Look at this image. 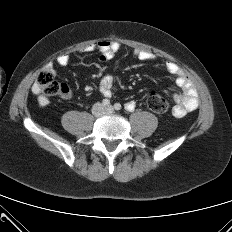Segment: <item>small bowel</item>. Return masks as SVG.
Here are the masks:
<instances>
[{
	"label": "small bowel",
	"instance_id": "c3829d8e",
	"mask_svg": "<svg viewBox=\"0 0 232 232\" xmlns=\"http://www.w3.org/2000/svg\"><path fill=\"white\" fill-rule=\"evenodd\" d=\"M121 49V44L117 41L111 40H101L96 43L88 44L84 46L80 52L90 53L93 51H98L101 54L102 60L111 59L119 50ZM134 56L143 62H153L156 60V56L144 49L134 50ZM70 63V56L68 54H61L57 58V64L61 67H65ZM166 70L172 74L175 78L176 85L181 89L180 93H176L173 96L175 101V107L173 113L177 117H182L188 112L195 110L199 105V98L197 89L193 81L188 77L185 71L172 61H167L165 63ZM64 88V93L62 94L63 99H70L72 92L66 84H62ZM99 90L105 97H110L115 91L114 77L110 72L104 73L99 80ZM33 93L37 97L38 104L42 107L49 105V99L39 92L37 86L34 84L32 87ZM135 107L134 101H128L126 103L127 107Z\"/></svg>",
	"mask_w": 232,
	"mask_h": 232
}]
</instances>
